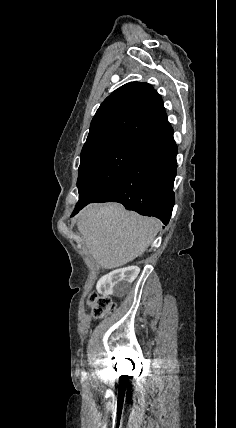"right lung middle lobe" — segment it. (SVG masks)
I'll return each mask as SVG.
<instances>
[{
    "label": "right lung middle lobe",
    "instance_id": "1",
    "mask_svg": "<svg viewBox=\"0 0 236 428\" xmlns=\"http://www.w3.org/2000/svg\"><path fill=\"white\" fill-rule=\"evenodd\" d=\"M141 146V141H125L81 159L76 207L89 203L113 184L132 163Z\"/></svg>",
    "mask_w": 236,
    "mask_h": 428
}]
</instances>
